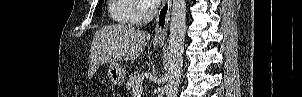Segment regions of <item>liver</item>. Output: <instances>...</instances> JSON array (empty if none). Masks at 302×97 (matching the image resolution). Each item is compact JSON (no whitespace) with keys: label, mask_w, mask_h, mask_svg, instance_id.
Masks as SVG:
<instances>
[{"label":"liver","mask_w":302,"mask_h":97,"mask_svg":"<svg viewBox=\"0 0 302 97\" xmlns=\"http://www.w3.org/2000/svg\"><path fill=\"white\" fill-rule=\"evenodd\" d=\"M150 39L149 33L125 25L103 27L93 38L89 76L105 61L135 60Z\"/></svg>","instance_id":"liver-1"}]
</instances>
